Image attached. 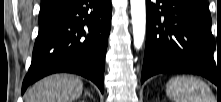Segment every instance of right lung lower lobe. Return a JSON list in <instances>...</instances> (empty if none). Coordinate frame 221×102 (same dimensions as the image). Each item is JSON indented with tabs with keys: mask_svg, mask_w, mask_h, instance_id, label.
Masks as SVG:
<instances>
[{
	"mask_svg": "<svg viewBox=\"0 0 221 102\" xmlns=\"http://www.w3.org/2000/svg\"><path fill=\"white\" fill-rule=\"evenodd\" d=\"M111 12V0H67L39 18V33L22 94L39 79L59 72L90 79L103 93Z\"/></svg>",
	"mask_w": 221,
	"mask_h": 102,
	"instance_id": "98d812e1",
	"label": "right lung lower lobe"
}]
</instances>
